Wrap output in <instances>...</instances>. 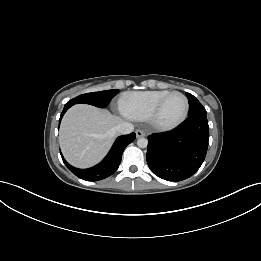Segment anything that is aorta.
<instances>
[{"mask_svg":"<svg viewBox=\"0 0 261 261\" xmlns=\"http://www.w3.org/2000/svg\"><path fill=\"white\" fill-rule=\"evenodd\" d=\"M137 145H138V147H140V148H145V147H147V145H148V140H147L146 138H139V139L137 140Z\"/></svg>","mask_w":261,"mask_h":261,"instance_id":"obj_1","label":"aorta"}]
</instances>
